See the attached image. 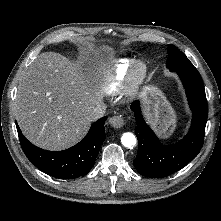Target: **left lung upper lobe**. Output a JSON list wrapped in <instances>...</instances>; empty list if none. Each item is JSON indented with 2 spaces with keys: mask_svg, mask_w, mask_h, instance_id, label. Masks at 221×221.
Segmentation results:
<instances>
[{
  "mask_svg": "<svg viewBox=\"0 0 221 221\" xmlns=\"http://www.w3.org/2000/svg\"><path fill=\"white\" fill-rule=\"evenodd\" d=\"M167 67L173 72L184 69H195L188 58L172 44L168 45Z\"/></svg>",
  "mask_w": 221,
  "mask_h": 221,
  "instance_id": "left-lung-upper-lobe-1",
  "label": "left lung upper lobe"
}]
</instances>
